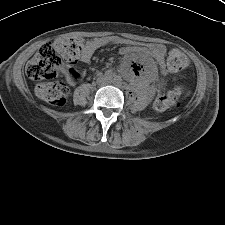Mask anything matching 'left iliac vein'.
I'll return each instance as SVG.
<instances>
[{"instance_id":"4c4485c4","label":"left iliac vein","mask_w":225,"mask_h":225,"mask_svg":"<svg viewBox=\"0 0 225 225\" xmlns=\"http://www.w3.org/2000/svg\"><path fill=\"white\" fill-rule=\"evenodd\" d=\"M107 82H108V83H112V82H113V83H117V84L120 83V82L117 81L116 79H114V81H113L112 79H108Z\"/></svg>"}]
</instances>
